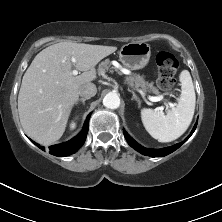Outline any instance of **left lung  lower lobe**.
Listing matches in <instances>:
<instances>
[{"label": "left lung lower lobe", "instance_id": "0a47b994", "mask_svg": "<svg viewBox=\"0 0 222 222\" xmlns=\"http://www.w3.org/2000/svg\"><path fill=\"white\" fill-rule=\"evenodd\" d=\"M196 126H197V123L195 124L192 132L190 133V135L185 139L188 140L189 137L193 134V132L195 131L196 129ZM124 133V136L128 142V144L134 148L135 150H137L138 152H140L141 154L143 155H146V156H151V157H163V156H166L170 153H172L173 151H175L176 149H178L182 144L183 142L181 143H178L176 145H173L171 147H167V148H163V149H148V148H144L142 147L140 144H138L135 140H133L126 131L123 132Z\"/></svg>", "mask_w": 222, "mask_h": 222}]
</instances>
